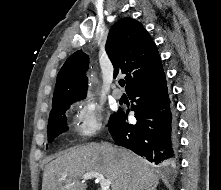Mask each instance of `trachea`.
<instances>
[{
    "instance_id": "obj_1",
    "label": "trachea",
    "mask_w": 221,
    "mask_h": 190,
    "mask_svg": "<svg viewBox=\"0 0 221 190\" xmlns=\"http://www.w3.org/2000/svg\"><path fill=\"white\" fill-rule=\"evenodd\" d=\"M119 84H120L121 87H124L125 81H124V80H120V81H119Z\"/></svg>"
}]
</instances>
